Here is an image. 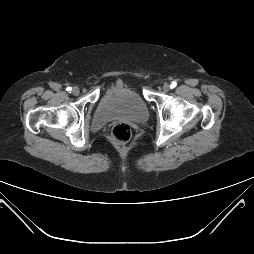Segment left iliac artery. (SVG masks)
Instances as JSON below:
<instances>
[{
  "instance_id": "44dca946",
  "label": "left iliac artery",
  "mask_w": 254,
  "mask_h": 254,
  "mask_svg": "<svg viewBox=\"0 0 254 254\" xmlns=\"http://www.w3.org/2000/svg\"><path fill=\"white\" fill-rule=\"evenodd\" d=\"M176 85H177L176 82H172L170 86H171V88H174V87H176Z\"/></svg>"
}]
</instances>
